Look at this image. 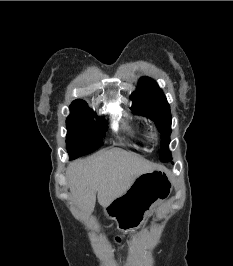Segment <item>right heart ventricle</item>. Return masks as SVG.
Returning <instances> with one entry per match:
<instances>
[{
    "mask_svg": "<svg viewBox=\"0 0 233 266\" xmlns=\"http://www.w3.org/2000/svg\"><path fill=\"white\" fill-rule=\"evenodd\" d=\"M142 134H143L144 136H147V134H146V132H145L144 130H142Z\"/></svg>",
    "mask_w": 233,
    "mask_h": 266,
    "instance_id": "right-heart-ventricle-1",
    "label": "right heart ventricle"
}]
</instances>
